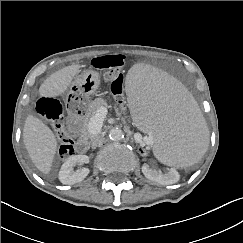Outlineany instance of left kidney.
Masks as SVG:
<instances>
[{
	"label": "left kidney",
	"mask_w": 243,
	"mask_h": 243,
	"mask_svg": "<svg viewBox=\"0 0 243 243\" xmlns=\"http://www.w3.org/2000/svg\"><path fill=\"white\" fill-rule=\"evenodd\" d=\"M142 172L146 178L161 185L175 184L180 179L179 173L173 167H171L167 173L163 174L161 171L151 168L148 164H144L142 166Z\"/></svg>",
	"instance_id": "1"
}]
</instances>
